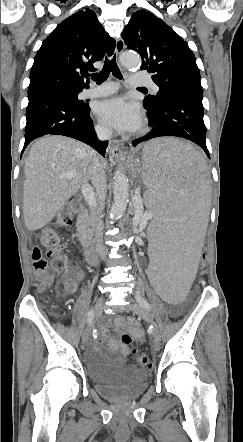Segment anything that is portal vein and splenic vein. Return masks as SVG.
Returning <instances> with one entry per match:
<instances>
[{
    "mask_svg": "<svg viewBox=\"0 0 243 442\" xmlns=\"http://www.w3.org/2000/svg\"><path fill=\"white\" fill-rule=\"evenodd\" d=\"M75 176V173L73 171L66 172L60 176V178H66V179H72ZM82 193L87 200V202L91 205V199H92V190L91 187L86 184L82 187Z\"/></svg>",
    "mask_w": 243,
    "mask_h": 442,
    "instance_id": "18ae733b",
    "label": "portal vein and splenic vein"
}]
</instances>
